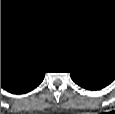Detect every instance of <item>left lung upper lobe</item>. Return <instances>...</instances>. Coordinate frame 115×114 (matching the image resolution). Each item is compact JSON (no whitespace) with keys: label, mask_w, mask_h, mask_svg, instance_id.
<instances>
[{"label":"left lung upper lobe","mask_w":115,"mask_h":114,"mask_svg":"<svg viewBox=\"0 0 115 114\" xmlns=\"http://www.w3.org/2000/svg\"><path fill=\"white\" fill-rule=\"evenodd\" d=\"M91 60L98 61L109 68L115 69V37L107 41Z\"/></svg>","instance_id":"left-lung-upper-lobe-1"}]
</instances>
